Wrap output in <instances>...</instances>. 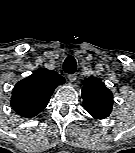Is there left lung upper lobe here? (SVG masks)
I'll use <instances>...</instances> for the list:
<instances>
[{"label": "left lung upper lobe", "mask_w": 135, "mask_h": 153, "mask_svg": "<svg viewBox=\"0 0 135 153\" xmlns=\"http://www.w3.org/2000/svg\"><path fill=\"white\" fill-rule=\"evenodd\" d=\"M82 83L84 109L95 119L108 117L113 105L112 92L96 77L87 78Z\"/></svg>", "instance_id": "obj_1"}]
</instances>
